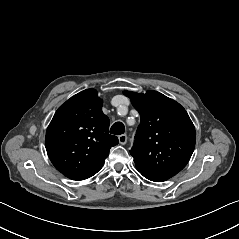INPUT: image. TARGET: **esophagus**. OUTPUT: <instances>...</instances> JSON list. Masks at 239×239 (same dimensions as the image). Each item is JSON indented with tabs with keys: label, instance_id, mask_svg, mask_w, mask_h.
Returning a JSON list of instances; mask_svg holds the SVG:
<instances>
[{
	"label": "esophagus",
	"instance_id": "esophagus-1",
	"mask_svg": "<svg viewBox=\"0 0 239 239\" xmlns=\"http://www.w3.org/2000/svg\"><path fill=\"white\" fill-rule=\"evenodd\" d=\"M118 138H119V143H120V144H122V145L126 144V142H127V136H126V134L119 135Z\"/></svg>",
	"mask_w": 239,
	"mask_h": 239
}]
</instances>
